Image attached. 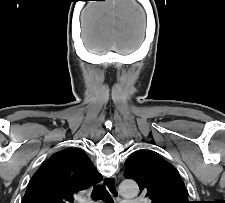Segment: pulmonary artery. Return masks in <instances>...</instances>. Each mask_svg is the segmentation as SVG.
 Segmentation results:
<instances>
[{
	"mask_svg": "<svg viewBox=\"0 0 225 203\" xmlns=\"http://www.w3.org/2000/svg\"><path fill=\"white\" fill-rule=\"evenodd\" d=\"M122 203H140L138 200H123Z\"/></svg>",
	"mask_w": 225,
	"mask_h": 203,
	"instance_id": "e3ab8cb5",
	"label": "pulmonary artery"
}]
</instances>
